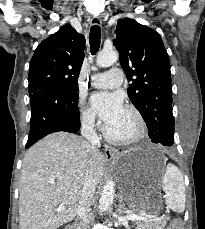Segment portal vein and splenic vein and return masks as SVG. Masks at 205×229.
Listing matches in <instances>:
<instances>
[{
	"label": "portal vein and splenic vein",
	"mask_w": 205,
	"mask_h": 229,
	"mask_svg": "<svg viewBox=\"0 0 205 229\" xmlns=\"http://www.w3.org/2000/svg\"><path fill=\"white\" fill-rule=\"evenodd\" d=\"M128 217H130L131 219H140L142 215L141 216L129 215Z\"/></svg>",
	"instance_id": "18ae733b"
}]
</instances>
